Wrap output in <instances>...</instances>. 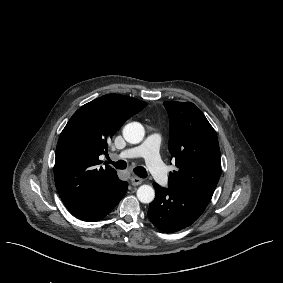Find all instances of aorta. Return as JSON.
Wrapping results in <instances>:
<instances>
[{"label": "aorta", "instance_id": "obj_1", "mask_svg": "<svg viewBox=\"0 0 283 283\" xmlns=\"http://www.w3.org/2000/svg\"><path fill=\"white\" fill-rule=\"evenodd\" d=\"M144 135V127L138 122L128 123L123 128V137L130 144L140 143ZM137 198L142 203H151L155 198V190L150 185H141L137 190Z\"/></svg>", "mask_w": 283, "mask_h": 283}]
</instances>
